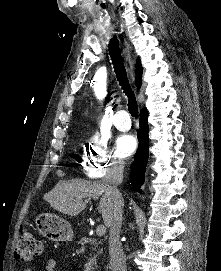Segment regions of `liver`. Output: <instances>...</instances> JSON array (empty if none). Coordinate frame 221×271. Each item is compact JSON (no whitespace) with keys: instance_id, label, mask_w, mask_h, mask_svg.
<instances>
[{"instance_id":"6515ba94","label":"liver","mask_w":221,"mask_h":271,"mask_svg":"<svg viewBox=\"0 0 221 271\" xmlns=\"http://www.w3.org/2000/svg\"><path fill=\"white\" fill-rule=\"evenodd\" d=\"M102 195L98 203V211L102 213L105 225H109L114 209V199L107 193L103 181H89V179H71V181H59L54 189L44 193V199L49 201L51 207L66 213V215H78L87 207L83 197H98ZM124 205V199H121Z\"/></svg>"}]
</instances>
